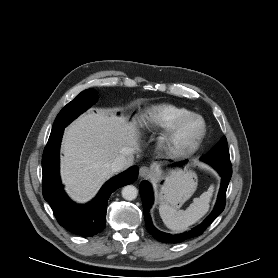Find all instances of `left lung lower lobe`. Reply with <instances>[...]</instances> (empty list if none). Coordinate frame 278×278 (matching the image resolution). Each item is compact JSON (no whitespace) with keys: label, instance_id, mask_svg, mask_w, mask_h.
I'll return each mask as SVG.
<instances>
[{"label":"left lung lower lobe","instance_id":"1","mask_svg":"<svg viewBox=\"0 0 278 278\" xmlns=\"http://www.w3.org/2000/svg\"><path fill=\"white\" fill-rule=\"evenodd\" d=\"M179 164H182V162ZM210 165L212 167H214L218 171L220 176L222 177L221 187H220V191H219V195H218V199H217L215 208L212 211V213L200 225L193 228L191 231L184 232L182 234L171 235L168 233L161 232L153 226L150 215H149V209L152 207V204H153L152 188H151V185L146 181H143L141 183L139 192H140V196H141L142 203H143L146 228H147L148 232L155 239H157L160 242H164V243H180L189 238L199 236L218 217V215H220V213H222V211L224 210V207H225L226 190H227L229 181L231 179L232 168L227 167V166L215 165V164H210Z\"/></svg>","mask_w":278,"mask_h":278}]
</instances>
